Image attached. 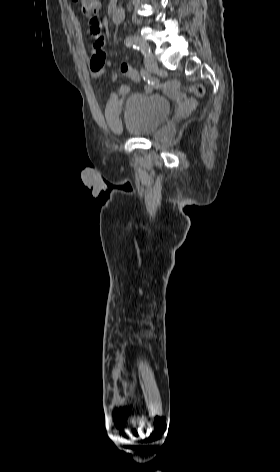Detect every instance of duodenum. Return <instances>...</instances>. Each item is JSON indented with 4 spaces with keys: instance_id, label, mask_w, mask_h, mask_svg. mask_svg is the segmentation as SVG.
I'll use <instances>...</instances> for the list:
<instances>
[{
    "instance_id": "410a0bca",
    "label": "duodenum",
    "mask_w": 280,
    "mask_h": 472,
    "mask_svg": "<svg viewBox=\"0 0 280 472\" xmlns=\"http://www.w3.org/2000/svg\"><path fill=\"white\" fill-rule=\"evenodd\" d=\"M125 17L124 10L120 7H115L111 13V21L113 24H120Z\"/></svg>"
}]
</instances>
